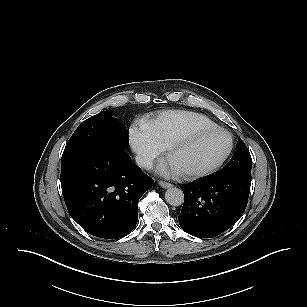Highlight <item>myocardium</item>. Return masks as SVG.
Listing matches in <instances>:
<instances>
[{"instance_id":"f54148a6","label":"myocardium","mask_w":307,"mask_h":307,"mask_svg":"<svg viewBox=\"0 0 307 307\" xmlns=\"http://www.w3.org/2000/svg\"><path fill=\"white\" fill-rule=\"evenodd\" d=\"M213 133H224L228 136L229 138V147L225 154L213 165L200 169V170H195V171H189V172H184V173H179V176H181L183 179L186 180H194L198 178L205 177L207 175H210L217 170H219L229 159L231 156L233 150H234V138L233 135L226 130L225 128H222L220 126L216 127H211V128H206V129H199L190 132L189 134L185 135L184 137L178 139L171 145L167 146L166 148V154L169 156L170 154L177 152L181 149H184L188 147L190 144H192L194 141L203 138L207 135L213 134Z\"/></svg>"}]
</instances>
